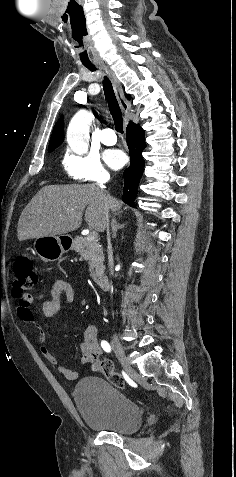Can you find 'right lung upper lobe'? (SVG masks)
Instances as JSON below:
<instances>
[{"label":"right lung upper lobe","instance_id":"1","mask_svg":"<svg viewBox=\"0 0 236 477\" xmlns=\"http://www.w3.org/2000/svg\"><path fill=\"white\" fill-rule=\"evenodd\" d=\"M126 97L129 99L130 96L126 95ZM131 124V123H130ZM63 141V122L58 121L56 125L54 126L52 136L49 142V150L57 147L60 145Z\"/></svg>","mask_w":236,"mask_h":477}]
</instances>
